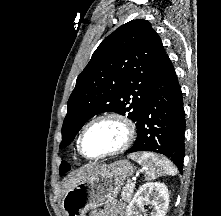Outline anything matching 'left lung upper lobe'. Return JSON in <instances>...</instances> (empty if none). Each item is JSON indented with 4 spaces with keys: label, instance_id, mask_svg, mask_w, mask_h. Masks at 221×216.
Returning <instances> with one entry per match:
<instances>
[{
    "label": "left lung upper lobe",
    "instance_id": "left-lung-upper-lobe-1",
    "mask_svg": "<svg viewBox=\"0 0 221 216\" xmlns=\"http://www.w3.org/2000/svg\"><path fill=\"white\" fill-rule=\"evenodd\" d=\"M164 54L161 38L146 20L130 21L104 39L77 78L59 147L69 145L82 126L102 112L127 115L137 126ZM59 170L63 175L70 165L62 161Z\"/></svg>",
    "mask_w": 221,
    "mask_h": 216
}]
</instances>
